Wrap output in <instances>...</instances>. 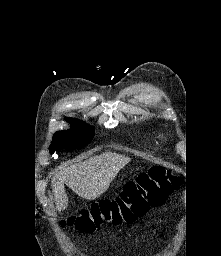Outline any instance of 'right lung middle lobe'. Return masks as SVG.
Instances as JSON below:
<instances>
[{
    "mask_svg": "<svg viewBox=\"0 0 221 256\" xmlns=\"http://www.w3.org/2000/svg\"><path fill=\"white\" fill-rule=\"evenodd\" d=\"M73 128L68 131H59L54 134L50 146L51 153L57 149H79L89 143L94 136V129L76 119H68Z\"/></svg>",
    "mask_w": 221,
    "mask_h": 256,
    "instance_id": "right-lung-middle-lobe-1",
    "label": "right lung middle lobe"
}]
</instances>
